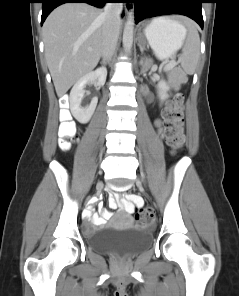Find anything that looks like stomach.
Instances as JSON below:
<instances>
[{
	"mask_svg": "<svg viewBox=\"0 0 239 296\" xmlns=\"http://www.w3.org/2000/svg\"><path fill=\"white\" fill-rule=\"evenodd\" d=\"M185 36V30L180 23L167 18H157L144 28L140 37H147V42L159 59H167L180 49Z\"/></svg>",
	"mask_w": 239,
	"mask_h": 296,
	"instance_id": "0dacf381",
	"label": "stomach"
}]
</instances>
